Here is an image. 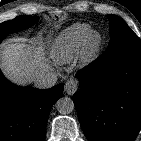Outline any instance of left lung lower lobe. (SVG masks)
I'll use <instances>...</instances> for the list:
<instances>
[{"label": "left lung lower lobe", "instance_id": "0a47b994", "mask_svg": "<svg viewBox=\"0 0 141 141\" xmlns=\"http://www.w3.org/2000/svg\"><path fill=\"white\" fill-rule=\"evenodd\" d=\"M76 77L73 101L88 141H133L141 129V50L106 52Z\"/></svg>", "mask_w": 141, "mask_h": 141}]
</instances>
